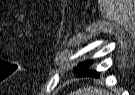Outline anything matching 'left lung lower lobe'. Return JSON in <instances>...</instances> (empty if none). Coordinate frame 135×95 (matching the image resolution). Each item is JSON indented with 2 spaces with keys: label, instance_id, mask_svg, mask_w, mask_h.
Wrapping results in <instances>:
<instances>
[{
  "label": "left lung lower lobe",
  "instance_id": "left-lung-lower-lobe-1",
  "mask_svg": "<svg viewBox=\"0 0 135 95\" xmlns=\"http://www.w3.org/2000/svg\"><path fill=\"white\" fill-rule=\"evenodd\" d=\"M90 63H91V62H86L85 67L80 68V69H78V70H75L76 74H77L79 77H84V76L98 77V76H99V73H98V72H96V71H90V70L88 69Z\"/></svg>",
  "mask_w": 135,
  "mask_h": 95
}]
</instances>
